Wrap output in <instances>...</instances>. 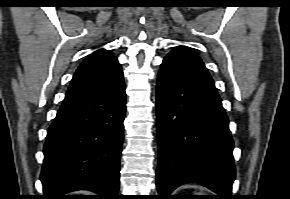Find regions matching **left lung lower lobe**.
Instances as JSON below:
<instances>
[{"label": "left lung lower lobe", "mask_w": 290, "mask_h": 199, "mask_svg": "<svg viewBox=\"0 0 290 199\" xmlns=\"http://www.w3.org/2000/svg\"><path fill=\"white\" fill-rule=\"evenodd\" d=\"M158 168L162 199L185 183H198L230 199L234 142L214 81L202 61L172 50L157 78Z\"/></svg>", "instance_id": "1"}]
</instances>
